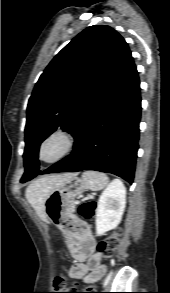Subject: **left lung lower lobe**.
Here are the masks:
<instances>
[{
    "mask_svg": "<svg viewBox=\"0 0 170 293\" xmlns=\"http://www.w3.org/2000/svg\"><path fill=\"white\" fill-rule=\"evenodd\" d=\"M140 117V82L131 57L74 137L73 152L39 174L96 170L132 183Z\"/></svg>",
    "mask_w": 170,
    "mask_h": 293,
    "instance_id": "0a47b994",
    "label": "left lung lower lobe"
}]
</instances>
